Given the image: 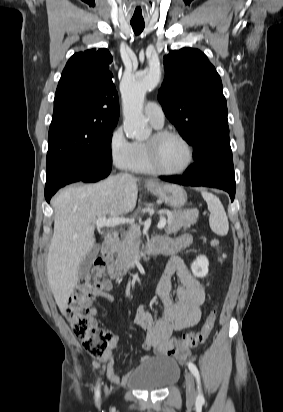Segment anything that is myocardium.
Segmentation results:
<instances>
[{"mask_svg":"<svg viewBox=\"0 0 283 412\" xmlns=\"http://www.w3.org/2000/svg\"><path fill=\"white\" fill-rule=\"evenodd\" d=\"M166 137H175L179 139L188 150V160L183 168L179 170H165L160 167L158 162V148L160 142ZM147 156L154 173L165 175V176H176L187 172L194 163L195 153L191 142L180 132L171 129H158L152 136L146 141Z\"/></svg>","mask_w":283,"mask_h":412,"instance_id":"myocardium-1","label":"myocardium"}]
</instances>
